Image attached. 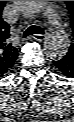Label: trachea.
Segmentation results:
<instances>
[{
  "label": "trachea",
  "instance_id": "obj_1",
  "mask_svg": "<svg viewBox=\"0 0 74 122\" xmlns=\"http://www.w3.org/2000/svg\"><path fill=\"white\" fill-rule=\"evenodd\" d=\"M37 34L43 35L44 30L40 26L31 25L23 33V38H26V37L31 36V35H37Z\"/></svg>",
  "mask_w": 74,
  "mask_h": 122
}]
</instances>
